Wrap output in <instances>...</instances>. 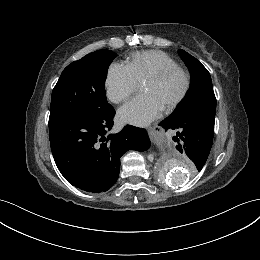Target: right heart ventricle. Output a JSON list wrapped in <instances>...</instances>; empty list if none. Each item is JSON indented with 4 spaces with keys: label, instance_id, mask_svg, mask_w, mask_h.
Masks as SVG:
<instances>
[{
    "label": "right heart ventricle",
    "instance_id": "1",
    "mask_svg": "<svg viewBox=\"0 0 260 260\" xmlns=\"http://www.w3.org/2000/svg\"><path fill=\"white\" fill-rule=\"evenodd\" d=\"M175 66H178L177 61L160 50L135 52L126 62V67L138 84L162 69Z\"/></svg>",
    "mask_w": 260,
    "mask_h": 260
}]
</instances>
